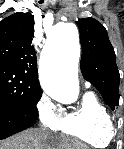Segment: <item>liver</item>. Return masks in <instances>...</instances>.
<instances>
[{"label": "liver", "mask_w": 124, "mask_h": 149, "mask_svg": "<svg viewBox=\"0 0 124 149\" xmlns=\"http://www.w3.org/2000/svg\"><path fill=\"white\" fill-rule=\"evenodd\" d=\"M0 149H88L83 143L52 135L46 129H29L0 142Z\"/></svg>", "instance_id": "1"}]
</instances>
